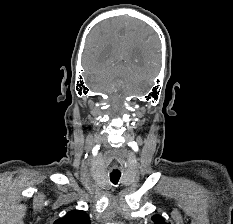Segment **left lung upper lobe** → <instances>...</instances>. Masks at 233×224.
I'll return each instance as SVG.
<instances>
[{
  "instance_id": "5c2ea615",
  "label": "left lung upper lobe",
  "mask_w": 233,
  "mask_h": 224,
  "mask_svg": "<svg viewBox=\"0 0 233 224\" xmlns=\"http://www.w3.org/2000/svg\"><path fill=\"white\" fill-rule=\"evenodd\" d=\"M151 219L154 222V224H170L166 223L160 215H154Z\"/></svg>"
}]
</instances>
